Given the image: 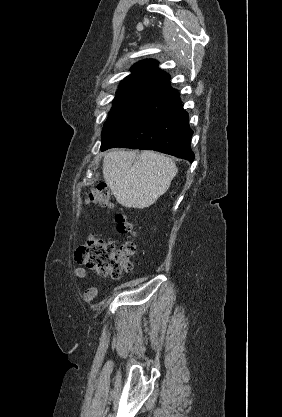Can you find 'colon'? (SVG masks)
I'll use <instances>...</instances> for the list:
<instances>
[{
    "label": "colon",
    "mask_w": 282,
    "mask_h": 417,
    "mask_svg": "<svg viewBox=\"0 0 282 417\" xmlns=\"http://www.w3.org/2000/svg\"><path fill=\"white\" fill-rule=\"evenodd\" d=\"M87 201L93 207H115L110 190L105 183L90 188ZM115 222L119 233L134 235L136 223L124 213H117ZM134 242L135 238H132L117 249L102 236L92 234L87 237L84 243L77 246L75 260L87 270L98 275L118 279L134 266V259L137 255Z\"/></svg>",
    "instance_id": "obj_1"
}]
</instances>
